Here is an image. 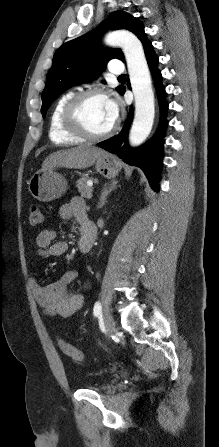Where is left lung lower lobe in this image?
I'll use <instances>...</instances> for the list:
<instances>
[{"label": "left lung lower lobe", "instance_id": "1", "mask_svg": "<svg viewBox=\"0 0 219 447\" xmlns=\"http://www.w3.org/2000/svg\"><path fill=\"white\" fill-rule=\"evenodd\" d=\"M144 47L145 56L148 65L151 69L153 80L155 82L157 97L160 107V126L155 135V137L146 145L132 149L127 144L126 135L128 133L129 127L133 119V109L130 108L127 121L123 126L121 132L98 144L99 147L115 153L118 152V156L130 165L139 166L149 178L150 184L155 191H158V175L160 171V166L162 163V146L164 131L166 127V111L168 109V104L165 101L166 92L162 85L161 72L157 68L158 57L156 56L152 44L143 38L141 41ZM125 88L121 92L123 95ZM122 143L124 145L121 147Z\"/></svg>", "mask_w": 219, "mask_h": 447}]
</instances>
